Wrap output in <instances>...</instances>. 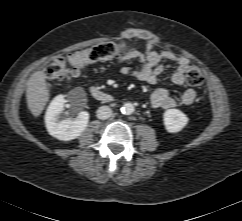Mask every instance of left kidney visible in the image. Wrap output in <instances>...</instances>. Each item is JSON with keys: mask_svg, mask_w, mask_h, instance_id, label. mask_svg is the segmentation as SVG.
Masks as SVG:
<instances>
[{"mask_svg": "<svg viewBox=\"0 0 242 221\" xmlns=\"http://www.w3.org/2000/svg\"><path fill=\"white\" fill-rule=\"evenodd\" d=\"M165 128L170 133L181 131L188 123V117L178 109H168L163 114Z\"/></svg>", "mask_w": 242, "mask_h": 221, "instance_id": "left-kidney-1", "label": "left kidney"}]
</instances>
